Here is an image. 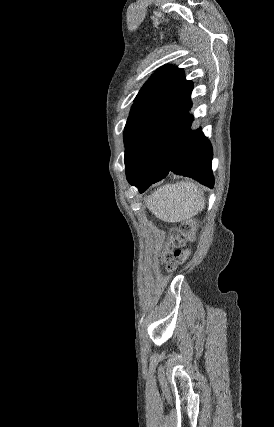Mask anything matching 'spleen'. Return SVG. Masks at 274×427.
Masks as SVG:
<instances>
[{
  "label": "spleen",
  "instance_id": "3e777b00",
  "mask_svg": "<svg viewBox=\"0 0 274 427\" xmlns=\"http://www.w3.org/2000/svg\"><path fill=\"white\" fill-rule=\"evenodd\" d=\"M146 206L162 221H183L203 210L202 188L193 180L165 184L145 198Z\"/></svg>",
  "mask_w": 274,
  "mask_h": 427
}]
</instances>
